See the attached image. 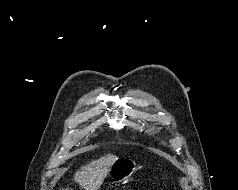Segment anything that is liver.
Segmentation results:
<instances>
[{"instance_id":"liver-1","label":"liver","mask_w":238,"mask_h":190,"mask_svg":"<svg viewBox=\"0 0 238 190\" xmlns=\"http://www.w3.org/2000/svg\"><path fill=\"white\" fill-rule=\"evenodd\" d=\"M119 158L115 155H104L81 167L74 175L75 182L84 190H98L107 177L110 167Z\"/></svg>"}]
</instances>
